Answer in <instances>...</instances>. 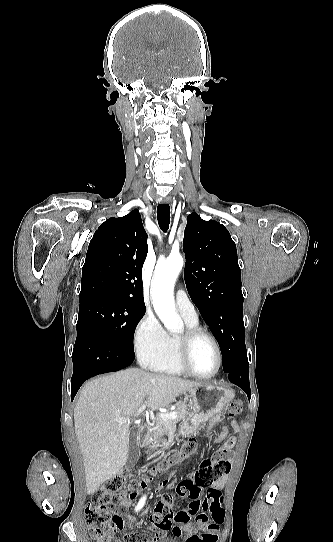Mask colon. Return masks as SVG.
Segmentation results:
<instances>
[{"label":"colon","instance_id":"5ec220e1","mask_svg":"<svg viewBox=\"0 0 333 542\" xmlns=\"http://www.w3.org/2000/svg\"><path fill=\"white\" fill-rule=\"evenodd\" d=\"M241 411L242 404L238 400L231 402L228 406V414L231 417L238 416ZM198 447L195 438L188 439L182 444L180 450L171 453L166 460L147 467L142 476L132 479L131 473L124 470L106 480L103 486L95 491L85 508L86 524L92 538H114L116 527H120L122 516L125 514L123 503L133 498L141 484L147 483L152 477L167 471L181 460L194 456ZM230 469L231 465L226 459L201 462L195 471V481L184 480L177 488L184 499L198 501L201 505H188L186 510L176 509L173 512L166 500H158L149 518L148 528L152 531V535L146 537L142 531L125 532L123 541L156 542L158 539L153 535L156 531L165 533L173 530L176 534H180L179 526L187 524L188 515L193 518L194 524L205 525V533L201 539L194 537L190 541L211 542L209 534H217L225 517L224 497L212 482L227 474ZM202 496L204 499L199 501ZM173 522L176 524L173 525Z\"/></svg>","mask_w":333,"mask_h":542}]
</instances>
